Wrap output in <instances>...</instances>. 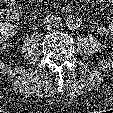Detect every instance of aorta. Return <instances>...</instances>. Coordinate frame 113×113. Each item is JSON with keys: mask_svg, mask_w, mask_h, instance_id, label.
Instances as JSON below:
<instances>
[{"mask_svg": "<svg viewBox=\"0 0 113 113\" xmlns=\"http://www.w3.org/2000/svg\"><path fill=\"white\" fill-rule=\"evenodd\" d=\"M66 24L68 26L69 29H77L80 26V19L77 18L76 16H70L67 20H66Z\"/></svg>", "mask_w": 113, "mask_h": 113, "instance_id": "aorta-1", "label": "aorta"}]
</instances>
